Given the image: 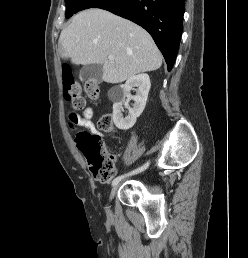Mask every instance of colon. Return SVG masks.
<instances>
[{"label":"colon","mask_w":248,"mask_h":258,"mask_svg":"<svg viewBox=\"0 0 248 258\" xmlns=\"http://www.w3.org/2000/svg\"><path fill=\"white\" fill-rule=\"evenodd\" d=\"M64 96L71 102L74 110H81L84 106V98L81 93V86L74 81L69 72L64 74ZM87 95L98 100L100 97V86L95 80H88L85 83ZM99 128L104 132L114 131V122L111 114L104 113L99 119ZM75 143L78 150L85 157L91 172L100 182H110L116 176V166L113 155L108 151L101 136L97 132L83 130L76 134Z\"/></svg>","instance_id":"1"}]
</instances>
